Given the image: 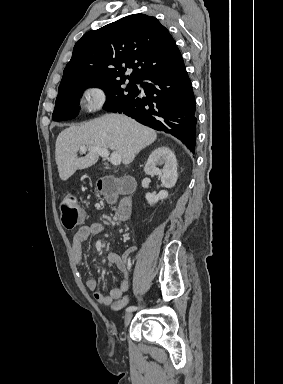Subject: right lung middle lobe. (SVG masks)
I'll return each instance as SVG.
<instances>
[{
	"label": "right lung middle lobe",
	"mask_w": 283,
	"mask_h": 384,
	"mask_svg": "<svg viewBox=\"0 0 283 384\" xmlns=\"http://www.w3.org/2000/svg\"><path fill=\"white\" fill-rule=\"evenodd\" d=\"M126 79H113L96 83L68 84L59 87L55 109L52 115L54 121L73 119L78 115L79 101L83 91L89 87H99L106 94L104 109L108 110L124 100L136 97L138 88L136 82Z\"/></svg>",
	"instance_id": "obj_1"
}]
</instances>
